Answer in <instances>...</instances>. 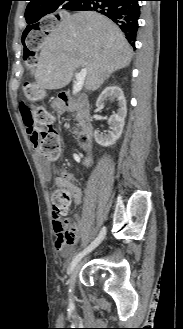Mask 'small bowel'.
<instances>
[{"instance_id": "c3829d8e", "label": "small bowel", "mask_w": 183, "mask_h": 329, "mask_svg": "<svg viewBox=\"0 0 183 329\" xmlns=\"http://www.w3.org/2000/svg\"><path fill=\"white\" fill-rule=\"evenodd\" d=\"M23 118L26 126L29 127L28 124L29 114H23ZM27 133L29 134L30 137H32L30 128L27 129ZM31 142L34 146H36V144L32 141V138H31ZM59 179L66 182L70 186L75 202L78 204L81 203L83 199V192L78 186L72 183L74 177L70 173L63 172ZM72 224L76 232L83 230V225L80 219L77 218L75 222ZM53 227L56 233L55 247L60 254H65V250H66L65 248L67 244H71L75 242L76 234L74 240L70 242L68 239V233L64 230L60 220L57 219L56 217H54Z\"/></svg>"}]
</instances>
